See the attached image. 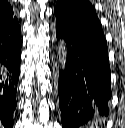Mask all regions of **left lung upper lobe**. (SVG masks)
I'll return each mask as SVG.
<instances>
[{
  "instance_id": "left-lung-upper-lobe-1",
  "label": "left lung upper lobe",
  "mask_w": 125,
  "mask_h": 128,
  "mask_svg": "<svg viewBox=\"0 0 125 128\" xmlns=\"http://www.w3.org/2000/svg\"><path fill=\"white\" fill-rule=\"evenodd\" d=\"M54 13L56 23L104 36L96 11L87 0H57Z\"/></svg>"
}]
</instances>
